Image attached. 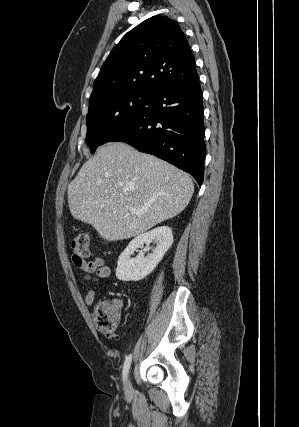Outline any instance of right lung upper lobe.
Instances as JSON below:
<instances>
[{
  "mask_svg": "<svg viewBox=\"0 0 299 427\" xmlns=\"http://www.w3.org/2000/svg\"><path fill=\"white\" fill-rule=\"evenodd\" d=\"M196 76L195 59L179 24L153 16L112 49L95 80L89 105L123 92L154 94Z\"/></svg>",
  "mask_w": 299,
  "mask_h": 427,
  "instance_id": "right-lung-upper-lobe-1",
  "label": "right lung upper lobe"
}]
</instances>
